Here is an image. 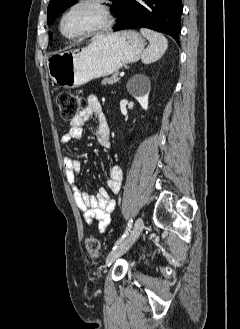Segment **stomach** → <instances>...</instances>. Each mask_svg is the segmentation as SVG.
<instances>
[{
	"label": "stomach",
	"instance_id": "0dacf381",
	"mask_svg": "<svg viewBox=\"0 0 240 329\" xmlns=\"http://www.w3.org/2000/svg\"><path fill=\"white\" fill-rule=\"evenodd\" d=\"M144 46V39L136 31L98 34L84 48L53 53L47 68L56 84L76 88L138 61Z\"/></svg>",
	"mask_w": 240,
	"mask_h": 329
}]
</instances>
